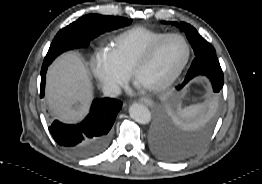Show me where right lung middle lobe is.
Instances as JSON below:
<instances>
[{
	"label": "right lung middle lobe",
	"instance_id": "right-lung-middle-lobe-1",
	"mask_svg": "<svg viewBox=\"0 0 262 184\" xmlns=\"http://www.w3.org/2000/svg\"><path fill=\"white\" fill-rule=\"evenodd\" d=\"M131 22V19L125 17H111L97 14L85 15L56 34L43 65L49 66L62 52L85 47L89 44L90 40L100 34L128 26Z\"/></svg>",
	"mask_w": 262,
	"mask_h": 184
}]
</instances>
